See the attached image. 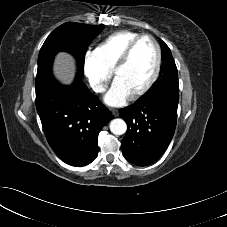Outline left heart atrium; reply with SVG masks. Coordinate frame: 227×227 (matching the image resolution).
Masks as SVG:
<instances>
[{"instance_id": "39dd6f15", "label": "left heart atrium", "mask_w": 227, "mask_h": 227, "mask_svg": "<svg viewBox=\"0 0 227 227\" xmlns=\"http://www.w3.org/2000/svg\"><path fill=\"white\" fill-rule=\"evenodd\" d=\"M127 91L115 80L105 95V102L110 106H121L128 99Z\"/></svg>"}]
</instances>
